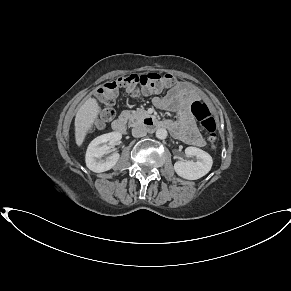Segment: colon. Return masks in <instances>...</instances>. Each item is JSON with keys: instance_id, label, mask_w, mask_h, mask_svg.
Returning a JSON list of instances; mask_svg holds the SVG:
<instances>
[{"instance_id": "1", "label": "colon", "mask_w": 291, "mask_h": 291, "mask_svg": "<svg viewBox=\"0 0 291 291\" xmlns=\"http://www.w3.org/2000/svg\"><path fill=\"white\" fill-rule=\"evenodd\" d=\"M175 79L171 74L149 72L143 74H129L106 82L98 92V100L101 104L97 126L103 127L114 115V105L117 102L121 89L132 94L143 93L145 95L159 94L174 85ZM191 112L207 131L211 147L215 148L216 121L207 104L195 101L191 105Z\"/></svg>"}]
</instances>
